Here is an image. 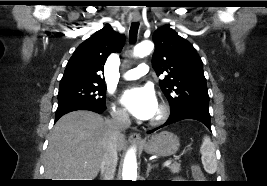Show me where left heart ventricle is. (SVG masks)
Segmentation results:
<instances>
[{"mask_svg": "<svg viewBox=\"0 0 267 186\" xmlns=\"http://www.w3.org/2000/svg\"><path fill=\"white\" fill-rule=\"evenodd\" d=\"M157 114H158V108H157V110H156V112H155V114L153 115L152 118L156 117ZM152 118H151V119H152Z\"/></svg>", "mask_w": 267, "mask_h": 186, "instance_id": "b2bd125f", "label": "left heart ventricle"}]
</instances>
